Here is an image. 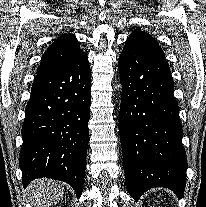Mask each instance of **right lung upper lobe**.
<instances>
[{"instance_id": "right-lung-upper-lobe-1", "label": "right lung upper lobe", "mask_w": 206, "mask_h": 207, "mask_svg": "<svg viewBox=\"0 0 206 207\" xmlns=\"http://www.w3.org/2000/svg\"><path fill=\"white\" fill-rule=\"evenodd\" d=\"M85 56L75 36L64 34L56 39L42 56L37 75L61 70Z\"/></svg>"}]
</instances>
